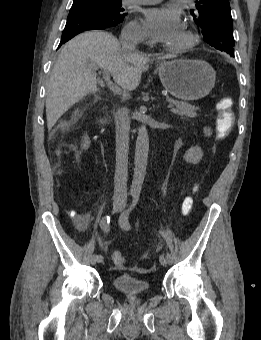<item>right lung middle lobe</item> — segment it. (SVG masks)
Segmentation results:
<instances>
[{
    "instance_id": "1",
    "label": "right lung middle lobe",
    "mask_w": 261,
    "mask_h": 340,
    "mask_svg": "<svg viewBox=\"0 0 261 340\" xmlns=\"http://www.w3.org/2000/svg\"><path fill=\"white\" fill-rule=\"evenodd\" d=\"M87 11L94 13L104 20L114 23H121L125 17L124 8L121 7V0H91L74 2L70 12Z\"/></svg>"
}]
</instances>
